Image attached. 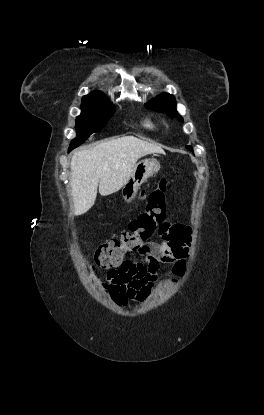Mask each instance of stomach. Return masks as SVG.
Returning <instances> with one entry per match:
<instances>
[{
	"label": "stomach",
	"mask_w": 264,
	"mask_h": 415,
	"mask_svg": "<svg viewBox=\"0 0 264 415\" xmlns=\"http://www.w3.org/2000/svg\"><path fill=\"white\" fill-rule=\"evenodd\" d=\"M160 163L154 158L139 161L134 168L133 173L128 181L122 187V198L127 204L134 202L140 186L145 183L148 178L158 173Z\"/></svg>",
	"instance_id": "obj_1"
}]
</instances>
